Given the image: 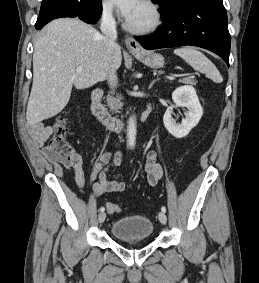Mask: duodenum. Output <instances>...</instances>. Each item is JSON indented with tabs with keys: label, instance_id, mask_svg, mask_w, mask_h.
<instances>
[{
	"label": "duodenum",
	"instance_id": "duodenum-1",
	"mask_svg": "<svg viewBox=\"0 0 259 283\" xmlns=\"http://www.w3.org/2000/svg\"><path fill=\"white\" fill-rule=\"evenodd\" d=\"M102 90L95 89L91 93V110L93 114L106 126L109 130L119 131L124 122L116 117L111 116L102 105Z\"/></svg>",
	"mask_w": 259,
	"mask_h": 283
}]
</instances>
